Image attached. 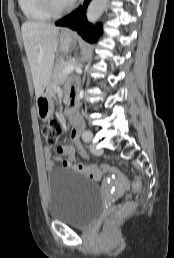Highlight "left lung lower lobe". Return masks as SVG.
<instances>
[{
    "instance_id": "left-lung-lower-lobe-1",
    "label": "left lung lower lobe",
    "mask_w": 174,
    "mask_h": 258,
    "mask_svg": "<svg viewBox=\"0 0 174 258\" xmlns=\"http://www.w3.org/2000/svg\"><path fill=\"white\" fill-rule=\"evenodd\" d=\"M90 0H85L83 7H79L73 13L57 21V26H66L76 30L88 42L94 43L102 34L101 24H97L92 28L86 19V8Z\"/></svg>"
}]
</instances>
